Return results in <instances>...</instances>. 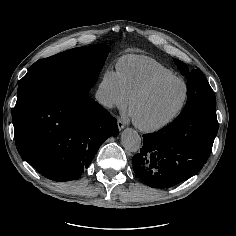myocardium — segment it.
<instances>
[{"mask_svg":"<svg viewBox=\"0 0 236 236\" xmlns=\"http://www.w3.org/2000/svg\"><path fill=\"white\" fill-rule=\"evenodd\" d=\"M169 81H180L184 85V94H183L181 103L179 107L175 110V112L171 114L169 117H167L166 119L158 123H154L150 125L143 124L139 122L138 120H136L132 114V109L135 102L141 97L147 95L149 92H151L154 88H156L160 84L169 82ZM188 96H189V86H188V83L182 77L176 76V75H170V76H162V77L155 78L149 83H147L146 85H144L143 87H141L140 89H138L137 91H135L131 95L130 100H129L128 110H129V114L131 116L132 122L135 125V127L138 128L140 131H143L146 133L157 132L167 127L171 123H173L181 115V113L183 112L186 106Z\"/></svg>","mask_w":236,"mask_h":236,"instance_id":"f54148a6","label":"myocardium"}]
</instances>
